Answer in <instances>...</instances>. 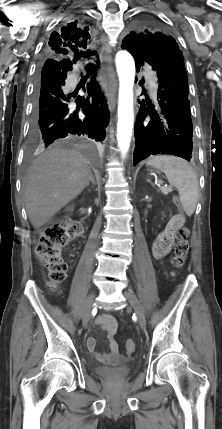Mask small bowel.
Returning a JSON list of instances; mask_svg holds the SVG:
<instances>
[{
  "instance_id": "c3829d8e",
  "label": "small bowel",
  "mask_w": 222,
  "mask_h": 429,
  "mask_svg": "<svg viewBox=\"0 0 222 429\" xmlns=\"http://www.w3.org/2000/svg\"><path fill=\"white\" fill-rule=\"evenodd\" d=\"M183 224L184 218L180 214H176L169 219L164 229L158 234L152 247V253L156 259H160L168 254L173 245L177 230L183 226ZM96 323L106 332L109 352L97 351L96 339L94 337H89L87 339V347L93 357L100 363L109 366H118L126 362L127 359L120 354L118 343L114 338L118 327L115 318L110 314H101L96 318Z\"/></svg>"
}]
</instances>
